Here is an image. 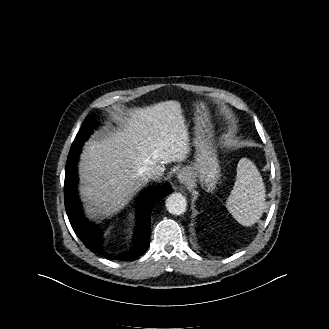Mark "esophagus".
<instances>
[{
	"label": "esophagus",
	"instance_id": "34e87169",
	"mask_svg": "<svg viewBox=\"0 0 329 329\" xmlns=\"http://www.w3.org/2000/svg\"><path fill=\"white\" fill-rule=\"evenodd\" d=\"M179 182L185 186L189 183V177L185 172H180L177 176Z\"/></svg>",
	"mask_w": 329,
	"mask_h": 329
}]
</instances>
